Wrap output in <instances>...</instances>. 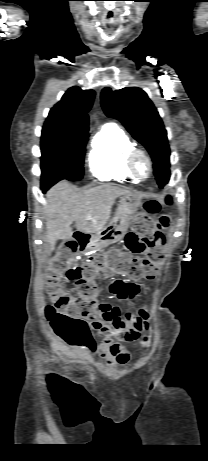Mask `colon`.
<instances>
[{
    "mask_svg": "<svg viewBox=\"0 0 208 461\" xmlns=\"http://www.w3.org/2000/svg\"><path fill=\"white\" fill-rule=\"evenodd\" d=\"M166 203H172L171 197H167ZM160 208L155 201L145 203L144 209L136 215L135 231L125 236L124 248H114L106 256H96L81 266L70 267L73 255L84 244L85 238L80 236L77 240L67 241L52 259L47 272V288L53 304L47 307L46 315L55 333L69 345L83 347L92 340L87 319L96 311L94 280L104 275L108 266L133 281L155 278L164 262L162 231L168 226L166 216L158 220L151 217ZM141 252H147V258L131 257L133 253ZM65 277L75 283L76 296L65 291Z\"/></svg>",
    "mask_w": 208,
    "mask_h": 461,
    "instance_id": "obj_1",
    "label": "colon"
}]
</instances>
